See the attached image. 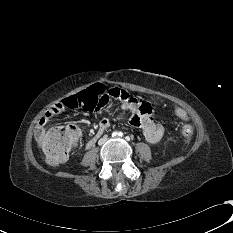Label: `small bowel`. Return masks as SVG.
<instances>
[{
    "mask_svg": "<svg viewBox=\"0 0 233 233\" xmlns=\"http://www.w3.org/2000/svg\"><path fill=\"white\" fill-rule=\"evenodd\" d=\"M121 105V109L131 114L130 124L134 127L140 128L146 140L150 143L159 142L164 135V126L153 120L155 108L151 102L144 101L137 96H131V93L121 87L115 86L107 88L98 101L95 103L94 111L100 112L106 107L110 101ZM66 109L64 100L54 104L47 112L40 118L37 129L41 131L44 129L48 121ZM187 113V112H186ZM110 122L103 119L99 122L97 133L88 141L87 148L93 146L104 132L109 128Z\"/></svg>",
    "mask_w": 233,
    "mask_h": 233,
    "instance_id": "small-bowel-1",
    "label": "small bowel"
}]
</instances>
